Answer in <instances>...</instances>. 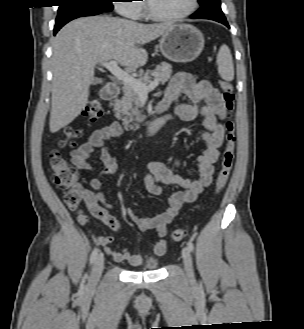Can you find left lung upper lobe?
Returning a JSON list of instances; mask_svg holds the SVG:
<instances>
[{
	"instance_id": "1",
	"label": "left lung upper lobe",
	"mask_w": 304,
	"mask_h": 329,
	"mask_svg": "<svg viewBox=\"0 0 304 329\" xmlns=\"http://www.w3.org/2000/svg\"><path fill=\"white\" fill-rule=\"evenodd\" d=\"M204 1H205V0H198V2H199L200 4H202Z\"/></svg>"
}]
</instances>
